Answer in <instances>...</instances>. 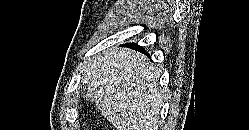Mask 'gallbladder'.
<instances>
[{"instance_id": "1", "label": "gallbladder", "mask_w": 249, "mask_h": 130, "mask_svg": "<svg viewBox=\"0 0 249 130\" xmlns=\"http://www.w3.org/2000/svg\"><path fill=\"white\" fill-rule=\"evenodd\" d=\"M82 96L89 102L94 101V91L91 87H88L87 85L83 87L82 89Z\"/></svg>"}]
</instances>
